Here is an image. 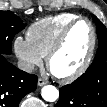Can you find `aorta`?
Returning <instances> with one entry per match:
<instances>
[{"mask_svg": "<svg viewBox=\"0 0 107 107\" xmlns=\"http://www.w3.org/2000/svg\"><path fill=\"white\" fill-rule=\"evenodd\" d=\"M42 98L47 102H54L59 98V91L53 85H46L41 90Z\"/></svg>", "mask_w": 107, "mask_h": 107, "instance_id": "1", "label": "aorta"}]
</instances>
